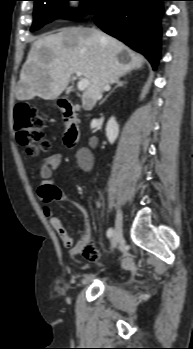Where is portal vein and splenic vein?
<instances>
[{"label":"portal vein and splenic vein","mask_w":193,"mask_h":349,"mask_svg":"<svg viewBox=\"0 0 193 349\" xmlns=\"http://www.w3.org/2000/svg\"><path fill=\"white\" fill-rule=\"evenodd\" d=\"M76 74L78 77H80L77 87L80 91H84L90 85V81L87 78L81 77L82 74L80 72H77Z\"/></svg>","instance_id":"1"}]
</instances>
